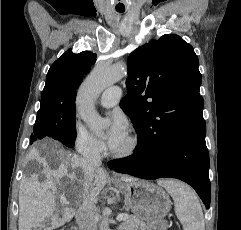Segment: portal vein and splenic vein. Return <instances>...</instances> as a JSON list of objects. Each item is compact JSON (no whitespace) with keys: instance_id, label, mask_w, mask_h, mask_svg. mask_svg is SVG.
I'll list each match as a JSON object with an SVG mask.
<instances>
[{"instance_id":"18ae733b","label":"portal vein and splenic vein","mask_w":241,"mask_h":230,"mask_svg":"<svg viewBox=\"0 0 241 230\" xmlns=\"http://www.w3.org/2000/svg\"><path fill=\"white\" fill-rule=\"evenodd\" d=\"M128 218H129V215L126 214V213H122V214H120V215L117 216V220H118V221H125V220H127Z\"/></svg>"}]
</instances>
